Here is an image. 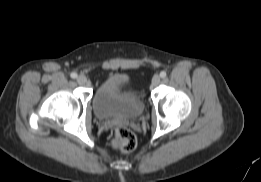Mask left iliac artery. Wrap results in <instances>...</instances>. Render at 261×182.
Segmentation results:
<instances>
[{"label": "left iliac artery", "instance_id": "left-iliac-artery-1", "mask_svg": "<svg viewBox=\"0 0 261 182\" xmlns=\"http://www.w3.org/2000/svg\"><path fill=\"white\" fill-rule=\"evenodd\" d=\"M167 76V73L165 71L160 72V77L165 78Z\"/></svg>", "mask_w": 261, "mask_h": 182}]
</instances>
